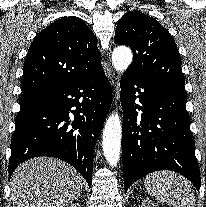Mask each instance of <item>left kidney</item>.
<instances>
[{"label":"left kidney","instance_id":"left-kidney-1","mask_svg":"<svg viewBox=\"0 0 206 207\" xmlns=\"http://www.w3.org/2000/svg\"><path fill=\"white\" fill-rule=\"evenodd\" d=\"M141 207H158L152 200L146 199L142 202Z\"/></svg>","mask_w":206,"mask_h":207}]
</instances>
